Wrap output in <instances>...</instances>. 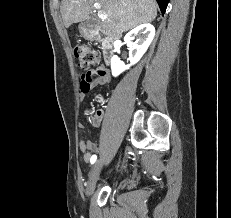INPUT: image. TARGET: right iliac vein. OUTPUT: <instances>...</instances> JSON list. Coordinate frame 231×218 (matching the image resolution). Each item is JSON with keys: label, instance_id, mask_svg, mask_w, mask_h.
Instances as JSON below:
<instances>
[{"label": "right iliac vein", "instance_id": "63e3f726", "mask_svg": "<svg viewBox=\"0 0 231 218\" xmlns=\"http://www.w3.org/2000/svg\"><path fill=\"white\" fill-rule=\"evenodd\" d=\"M101 168H102V161L98 160L93 165V167L89 173L88 183H87V187H86V195L88 197L91 196L95 190V186H96L97 180L99 178Z\"/></svg>", "mask_w": 231, "mask_h": 218}]
</instances>
